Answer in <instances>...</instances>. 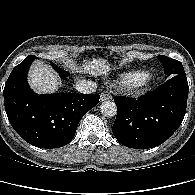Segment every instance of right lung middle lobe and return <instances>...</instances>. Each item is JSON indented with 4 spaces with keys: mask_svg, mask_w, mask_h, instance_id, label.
I'll list each match as a JSON object with an SVG mask.
<instances>
[{
    "mask_svg": "<svg viewBox=\"0 0 195 195\" xmlns=\"http://www.w3.org/2000/svg\"><path fill=\"white\" fill-rule=\"evenodd\" d=\"M52 66L59 73L61 78H66L69 75V73L67 71L61 69L60 67H58L54 63H52Z\"/></svg>",
    "mask_w": 195,
    "mask_h": 195,
    "instance_id": "1",
    "label": "right lung middle lobe"
}]
</instances>
